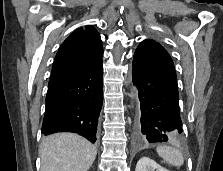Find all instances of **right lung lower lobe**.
I'll return each instance as SVG.
<instances>
[{
  "mask_svg": "<svg viewBox=\"0 0 223 171\" xmlns=\"http://www.w3.org/2000/svg\"><path fill=\"white\" fill-rule=\"evenodd\" d=\"M102 77L101 62L80 75L49 83L42 133L74 132L94 143L103 103Z\"/></svg>",
  "mask_w": 223,
  "mask_h": 171,
  "instance_id": "obj_1",
  "label": "right lung lower lobe"
}]
</instances>
